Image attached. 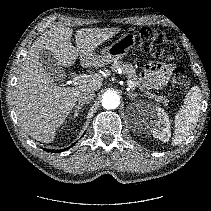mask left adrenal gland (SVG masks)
<instances>
[{
    "instance_id": "1",
    "label": "left adrenal gland",
    "mask_w": 211,
    "mask_h": 211,
    "mask_svg": "<svg viewBox=\"0 0 211 211\" xmlns=\"http://www.w3.org/2000/svg\"><path fill=\"white\" fill-rule=\"evenodd\" d=\"M127 95L131 98V100H134V98L137 97L139 94L132 93V92H127Z\"/></svg>"
}]
</instances>
